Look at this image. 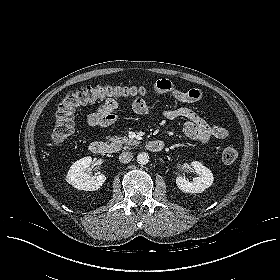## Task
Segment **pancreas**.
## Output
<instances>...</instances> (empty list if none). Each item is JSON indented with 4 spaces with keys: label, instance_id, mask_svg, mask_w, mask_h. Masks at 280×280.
<instances>
[{
    "label": "pancreas",
    "instance_id": "1",
    "mask_svg": "<svg viewBox=\"0 0 280 280\" xmlns=\"http://www.w3.org/2000/svg\"><path fill=\"white\" fill-rule=\"evenodd\" d=\"M108 141L110 142L111 147L115 150H120L122 147H124V149H130V146L137 145L139 143L137 140L120 136L109 137Z\"/></svg>",
    "mask_w": 280,
    "mask_h": 280
}]
</instances>
